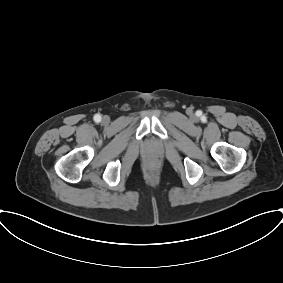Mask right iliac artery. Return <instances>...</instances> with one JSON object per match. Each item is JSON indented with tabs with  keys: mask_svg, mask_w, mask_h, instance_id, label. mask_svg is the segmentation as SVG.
Wrapping results in <instances>:
<instances>
[{
	"mask_svg": "<svg viewBox=\"0 0 283 283\" xmlns=\"http://www.w3.org/2000/svg\"><path fill=\"white\" fill-rule=\"evenodd\" d=\"M94 121L97 122V123H99V122L101 121V116H100L99 114H96V115L94 116Z\"/></svg>",
	"mask_w": 283,
	"mask_h": 283,
	"instance_id": "82829eb1",
	"label": "right iliac artery"
}]
</instances>
